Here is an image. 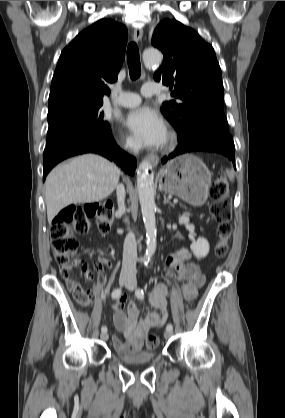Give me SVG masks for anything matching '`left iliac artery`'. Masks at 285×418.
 Returning <instances> with one entry per match:
<instances>
[{
    "label": "left iliac artery",
    "mask_w": 285,
    "mask_h": 418,
    "mask_svg": "<svg viewBox=\"0 0 285 418\" xmlns=\"http://www.w3.org/2000/svg\"><path fill=\"white\" fill-rule=\"evenodd\" d=\"M135 294H136V297H137L138 299H144V292H143V290H142V289H140V288L136 289ZM172 329H173L172 324H167V326H166V330H172Z\"/></svg>",
    "instance_id": "1"
}]
</instances>
